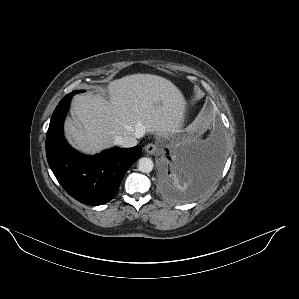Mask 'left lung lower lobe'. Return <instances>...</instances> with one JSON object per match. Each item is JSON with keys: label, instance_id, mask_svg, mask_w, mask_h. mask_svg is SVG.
<instances>
[{"label": "left lung lower lobe", "instance_id": "0a47b994", "mask_svg": "<svg viewBox=\"0 0 299 299\" xmlns=\"http://www.w3.org/2000/svg\"><path fill=\"white\" fill-rule=\"evenodd\" d=\"M161 169L160 191L168 199L184 200L208 190L217 179L224 158L221 139L167 156Z\"/></svg>", "mask_w": 299, "mask_h": 299}]
</instances>
